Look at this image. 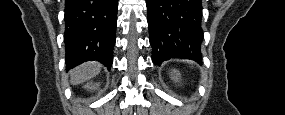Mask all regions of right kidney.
Segmentation results:
<instances>
[{
  "mask_svg": "<svg viewBox=\"0 0 285 115\" xmlns=\"http://www.w3.org/2000/svg\"><path fill=\"white\" fill-rule=\"evenodd\" d=\"M99 86V83H87L85 86H84V88L85 89H88V90H94V89H96L97 87Z\"/></svg>",
  "mask_w": 285,
  "mask_h": 115,
  "instance_id": "obj_1",
  "label": "right kidney"
}]
</instances>
